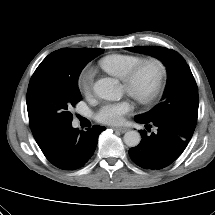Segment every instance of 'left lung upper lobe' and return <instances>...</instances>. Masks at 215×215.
Segmentation results:
<instances>
[{
  "instance_id": "1",
  "label": "left lung upper lobe",
  "mask_w": 215,
  "mask_h": 215,
  "mask_svg": "<svg viewBox=\"0 0 215 215\" xmlns=\"http://www.w3.org/2000/svg\"><path fill=\"white\" fill-rule=\"evenodd\" d=\"M127 49L160 59L168 71V81L161 102L138 117L172 120L194 132L198 117V88L184 58L174 50L157 46H138Z\"/></svg>"
}]
</instances>
